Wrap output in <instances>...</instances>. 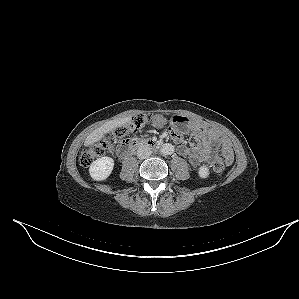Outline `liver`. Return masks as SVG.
Instances as JSON below:
<instances>
[{"instance_id":"6515ba94","label":"liver","mask_w":299,"mask_h":299,"mask_svg":"<svg viewBox=\"0 0 299 299\" xmlns=\"http://www.w3.org/2000/svg\"><path fill=\"white\" fill-rule=\"evenodd\" d=\"M131 122V117H124L115 120H110L92 131L85 139L84 145L86 147L93 145L101 140L106 134L114 131L115 129L125 126Z\"/></svg>"}]
</instances>
